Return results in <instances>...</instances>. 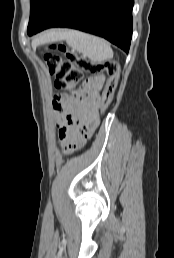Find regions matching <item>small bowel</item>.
<instances>
[{
  "mask_svg": "<svg viewBox=\"0 0 174 258\" xmlns=\"http://www.w3.org/2000/svg\"><path fill=\"white\" fill-rule=\"evenodd\" d=\"M105 84L104 75L88 79L78 98L58 94L52 100V107L59 128V136L66 153L77 146H84L99 125V109L102 96L98 90Z\"/></svg>",
  "mask_w": 174,
  "mask_h": 258,
  "instance_id": "c3829d8e",
  "label": "small bowel"
}]
</instances>
